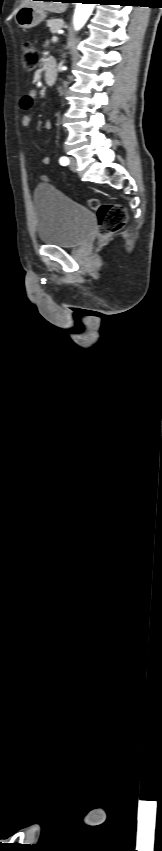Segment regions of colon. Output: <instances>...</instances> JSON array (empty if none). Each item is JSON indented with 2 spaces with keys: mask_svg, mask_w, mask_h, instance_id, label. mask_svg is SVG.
Wrapping results in <instances>:
<instances>
[{
  "mask_svg": "<svg viewBox=\"0 0 162 851\" xmlns=\"http://www.w3.org/2000/svg\"><path fill=\"white\" fill-rule=\"evenodd\" d=\"M39 55L30 42L22 46V66L26 72H31L36 67ZM89 206L97 212L98 233L101 239H106L121 230L127 222L126 209L117 203H101L92 198L88 201Z\"/></svg>",
  "mask_w": 162,
  "mask_h": 851,
  "instance_id": "obj_1",
  "label": "colon"
}]
</instances>
